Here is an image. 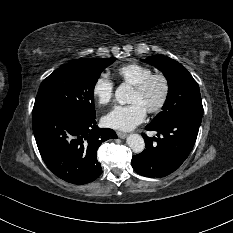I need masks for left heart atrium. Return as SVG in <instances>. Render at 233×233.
<instances>
[{"mask_svg": "<svg viewBox=\"0 0 233 233\" xmlns=\"http://www.w3.org/2000/svg\"><path fill=\"white\" fill-rule=\"evenodd\" d=\"M146 117V109L138 102L129 105H118L103 118L107 127L129 131L142 123Z\"/></svg>", "mask_w": 233, "mask_h": 233, "instance_id": "left-heart-atrium-1", "label": "left heart atrium"}]
</instances>
